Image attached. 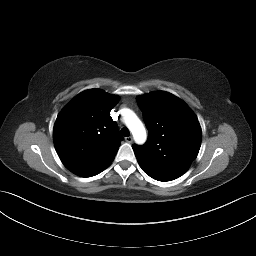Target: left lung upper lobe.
<instances>
[{
  "label": "left lung upper lobe",
  "instance_id": "1",
  "mask_svg": "<svg viewBox=\"0 0 256 256\" xmlns=\"http://www.w3.org/2000/svg\"><path fill=\"white\" fill-rule=\"evenodd\" d=\"M149 138L133 145L141 168L160 181L183 175L198 155L202 131L197 117L178 97L164 91L138 96Z\"/></svg>",
  "mask_w": 256,
  "mask_h": 256
}]
</instances>
